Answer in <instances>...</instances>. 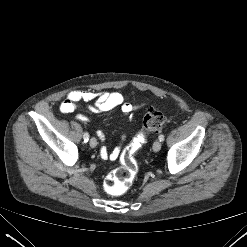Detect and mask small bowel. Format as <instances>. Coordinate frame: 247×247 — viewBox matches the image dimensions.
<instances>
[{
    "label": "small bowel",
    "instance_id": "small-bowel-1",
    "mask_svg": "<svg viewBox=\"0 0 247 247\" xmlns=\"http://www.w3.org/2000/svg\"><path fill=\"white\" fill-rule=\"evenodd\" d=\"M93 102L92 104H89ZM81 103H86L89 111L93 113H106L116 107H120L122 112L126 115L131 114L136 106L124 101L120 92L108 91H92V90H75L70 92L66 99L60 104V111L63 113H70L75 111ZM76 119L80 122L86 123L89 117L84 114H77ZM97 136L101 141H104V134L102 131H97ZM124 136L122 137V141ZM120 154V145L115 147L111 152L106 147L100 149V156L103 159L115 160Z\"/></svg>",
    "mask_w": 247,
    "mask_h": 247
}]
</instances>
